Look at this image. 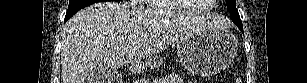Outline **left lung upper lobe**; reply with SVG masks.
<instances>
[{
	"label": "left lung upper lobe",
	"instance_id": "1",
	"mask_svg": "<svg viewBox=\"0 0 307 83\" xmlns=\"http://www.w3.org/2000/svg\"><path fill=\"white\" fill-rule=\"evenodd\" d=\"M226 5H227V8L229 10L230 16L232 17V21L237 26H242L239 13H238V11L236 9V2H235V0H226Z\"/></svg>",
	"mask_w": 307,
	"mask_h": 83
}]
</instances>
